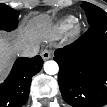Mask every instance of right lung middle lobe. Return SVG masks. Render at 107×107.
Masks as SVG:
<instances>
[{"label":"right lung middle lobe","mask_w":107,"mask_h":107,"mask_svg":"<svg viewBox=\"0 0 107 107\" xmlns=\"http://www.w3.org/2000/svg\"><path fill=\"white\" fill-rule=\"evenodd\" d=\"M19 12L9 6L0 4V29L11 31L17 27Z\"/></svg>","instance_id":"right-lung-middle-lobe-1"}]
</instances>
